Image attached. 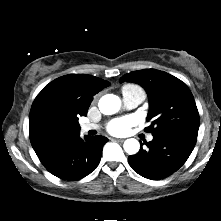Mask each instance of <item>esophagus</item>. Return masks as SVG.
Returning <instances> with one entry per match:
<instances>
[{
    "mask_svg": "<svg viewBox=\"0 0 221 221\" xmlns=\"http://www.w3.org/2000/svg\"><path fill=\"white\" fill-rule=\"evenodd\" d=\"M114 141H117V142H123L124 141V139H121V138H115V139H113Z\"/></svg>",
    "mask_w": 221,
    "mask_h": 221,
    "instance_id": "1",
    "label": "esophagus"
}]
</instances>
